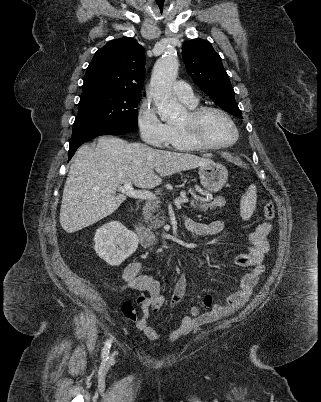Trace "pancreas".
<instances>
[{
	"mask_svg": "<svg viewBox=\"0 0 321 402\" xmlns=\"http://www.w3.org/2000/svg\"><path fill=\"white\" fill-rule=\"evenodd\" d=\"M226 204V200L223 197H217L213 201L202 199L199 196H195L190 201V206L199 209L200 211H207L208 209H215L223 207ZM143 217L145 223L151 230H156L162 227L165 223V217L163 216V210L160 207L158 200H148L143 207Z\"/></svg>",
	"mask_w": 321,
	"mask_h": 402,
	"instance_id": "pancreas-1",
	"label": "pancreas"
}]
</instances>
